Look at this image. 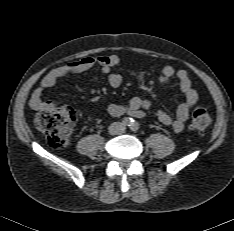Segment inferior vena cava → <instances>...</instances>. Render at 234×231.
<instances>
[{
    "mask_svg": "<svg viewBox=\"0 0 234 231\" xmlns=\"http://www.w3.org/2000/svg\"><path fill=\"white\" fill-rule=\"evenodd\" d=\"M125 131V126L120 122H114L109 127V132L112 135H119Z\"/></svg>",
    "mask_w": 234,
    "mask_h": 231,
    "instance_id": "obj_1",
    "label": "inferior vena cava"
}]
</instances>
